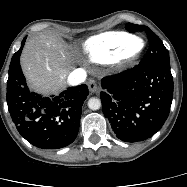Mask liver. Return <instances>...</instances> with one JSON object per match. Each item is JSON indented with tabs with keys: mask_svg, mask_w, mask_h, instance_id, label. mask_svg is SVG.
Returning a JSON list of instances; mask_svg holds the SVG:
<instances>
[{
	"mask_svg": "<svg viewBox=\"0 0 187 187\" xmlns=\"http://www.w3.org/2000/svg\"><path fill=\"white\" fill-rule=\"evenodd\" d=\"M75 54L60 39L39 34L29 38L21 54V66L32 90L49 95L66 86Z\"/></svg>",
	"mask_w": 187,
	"mask_h": 187,
	"instance_id": "1",
	"label": "liver"
}]
</instances>
